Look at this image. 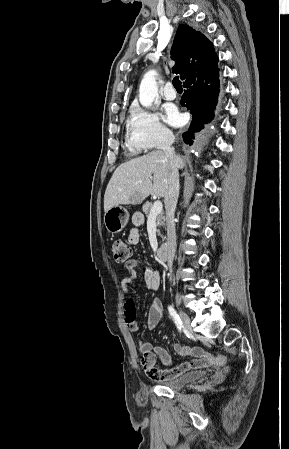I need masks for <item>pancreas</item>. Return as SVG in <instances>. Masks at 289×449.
I'll list each match as a JSON object with an SVG mask.
<instances>
[{"label":"pancreas","instance_id":"cf45deb5","mask_svg":"<svg viewBox=\"0 0 289 449\" xmlns=\"http://www.w3.org/2000/svg\"><path fill=\"white\" fill-rule=\"evenodd\" d=\"M152 206H153V204H152L151 202H146V203L143 205V207H142V210H143V212H144V214L146 215L147 218H149V216H150V211H151ZM156 219H157V226H158V227L164 226V224H165V215H164V212H161V213L157 216ZM159 235L162 237V235L160 234V232H159Z\"/></svg>","mask_w":289,"mask_h":449}]
</instances>
